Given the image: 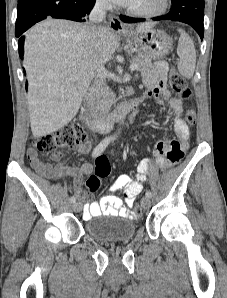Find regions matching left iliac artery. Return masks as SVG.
<instances>
[{
	"label": "left iliac artery",
	"instance_id": "44dca946",
	"mask_svg": "<svg viewBox=\"0 0 227 298\" xmlns=\"http://www.w3.org/2000/svg\"><path fill=\"white\" fill-rule=\"evenodd\" d=\"M146 196H147V197H151V196H152L151 191H146Z\"/></svg>",
	"mask_w": 227,
	"mask_h": 298
}]
</instances>
